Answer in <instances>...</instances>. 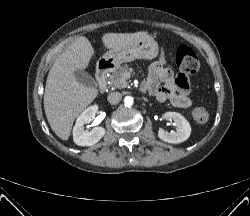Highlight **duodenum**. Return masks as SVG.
I'll return each instance as SVG.
<instances>
[{"mask_svg": "<svg viewBox=\"0 0 250 216\" xmlns=\"http://www.w3.org/2000/svg\"><path fill=\"white\" fill-rule=\"evenodd\" d=\"M111 68L112 64L109 61H101L97 67L96 76L102 92L107 89V78Z\"/></svg>", "mask_w": 250, "mask_h": 216, "instance_id": "1", "label": "duodenum"}]
</instances>
